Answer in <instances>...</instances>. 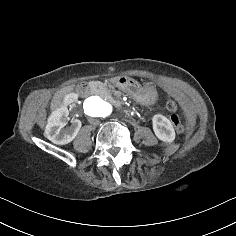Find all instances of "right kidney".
Returning <instances> with one entry per match:
<instances>
[{
  "mask_svg": "<svg viewBox=\"0 0 236 236\" xmlns=\"http://www.w3.org/2000/svg\"><path fill=\"white\" fill-rule=\"evenodd\" d=\"M76 101L77 94L74 91H67L46 109V116L51 118L46 129V136L52 143L63 146L71 143L78 135L82 127L81 121L72 119L71 125L66 126L67 122L64 117V110Z\"/></svg>",
  "mask_w": 236,
  "mask_h": 236,
  "instance_id": "ca27d5eb",
  "label": "right kidney"
}]
</instances>
